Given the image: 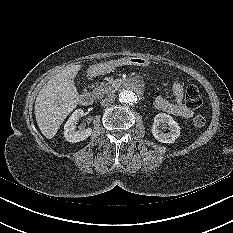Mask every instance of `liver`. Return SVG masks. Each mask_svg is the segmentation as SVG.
<instances>
[{
  "label": "liver",
  "instance_id": "obj_1",
  "mask_svg": "<svg viewBox=\"0 0 233 233\" xmlns=\"http://www.w3.org/2000/svg\"><path fill=\"white\" fill-rule=\"evenodd\" d=\"M80 69V64L67 66L52 77L37 95L35 117L41 133L48 139L56 135L64 119L79 102L74 78Z\"/></svg>",
  "mask_w": 233,
  "mask_h": 233
}]
</instances>
